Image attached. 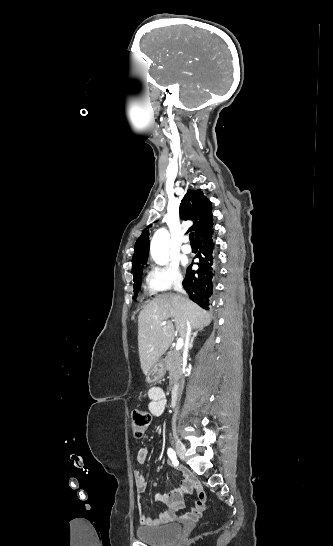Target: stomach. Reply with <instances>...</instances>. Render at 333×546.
<instances>
[{
	"label": "stomach",
	"instance_id": "obj_1",
	"mask_svg": "<svg viewBox=\"0 0 333 546\" xmlns=\"http://www.w3.org/2000/svg\"><path fill=\"white\" fill-rule=\"evenodd\" d=\"M166 369L162 359L158 360L149 370L146 380L149 383L160 380L165 375Z\"/></svg>",
	"mask_w": 333,
	"mask_h": 546
}]
</instances>
